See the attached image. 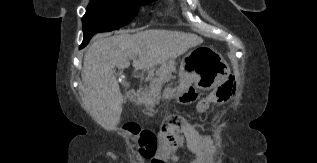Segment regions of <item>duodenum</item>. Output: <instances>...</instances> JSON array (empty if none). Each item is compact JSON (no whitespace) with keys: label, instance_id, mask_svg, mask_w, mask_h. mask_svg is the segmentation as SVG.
I'll return each instance as SVG.
<instances>
[{"label":"duodenum","instance_id":"1","mask_svg":"<svg viewBox=\"0 0 317 163\" xmlns=\"http://www.w3.org/2000/svg\"><path fill=\"white\" fill-rule=\"evenodd\" d=\"M137 95H138V92L136 90H134V89L129 90L128 93H127V97L130 100L136 99Z\"/></svg>","mask_w":317,"mask_h":163}]
</instances>
